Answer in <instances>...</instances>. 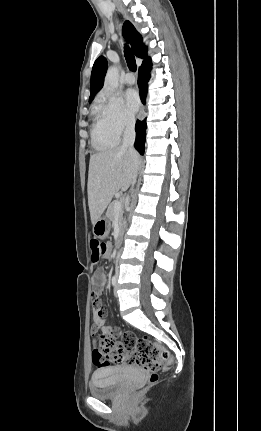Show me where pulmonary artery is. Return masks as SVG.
Returning a JSON list of instances; mask_svg holds the SVG:
<instances>
[{
	"instance_id": "1",
	"label": "pulmonary artery",
	"mask_w": 261,
	"mask_h": 431,
	"mask_svg": "<svg viewBox=\"0 0 261 431\" xmlns=\"http://www.w3.org/2000/svg\"><path fill=\"white\" fill-rule=\"evenodd\" d=\"M124 83L125 84H127V85H132V84H134L135 83V81H136V79H135V77H134V75L133 74H131V73H127L125 76H124Z\"/></svg>"
}]
</instances>
